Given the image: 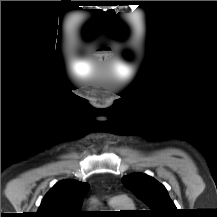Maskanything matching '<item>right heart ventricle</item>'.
I'll use <instances>...</instances> for the list:
<instances>
[{
  "instance_id": "right-heart-ventricle-1",
  "label": "right heart ventricle",
  "mask_w": 217,
  "mask_h": 217,
  "mask_svg": "<svg viewBox=\"0 0 217 217\" xmlns=\"http://www.w3.org/2000/svg\"><path fill=\"white\" fill-rule=\"evenodd\" d=\"M109 205L115 211H124V210L134 209V204L129 199H126L124 202H110Z\"/></svg>"
}]
</instances>
